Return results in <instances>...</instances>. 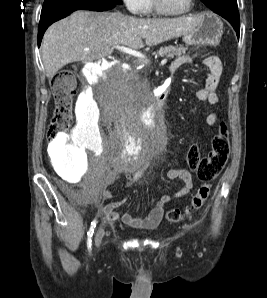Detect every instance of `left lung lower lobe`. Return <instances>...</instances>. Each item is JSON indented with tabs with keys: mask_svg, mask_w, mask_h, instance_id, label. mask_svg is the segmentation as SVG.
I'll return each mask as SVG.
<instances>
[{
	"mask_svg": "<svg viewBox=\"0 0 267 298\" xmlns=\"http://www.w3.org/2000/svg\"><path fill=\"white\" fill-rule=\"evenodd\" d=\"M220 16H222L223 18H225L226 20H228L233 28L235 29L237 36L239 37L240 34V16L238 13V8L236 9H231L230 11H227L226 13H217Z\"/></svg>",
	"mask_w": 267,
	"mask_h": 298,
	"instance_id": "obj_1",
	"label": "left lung lower lobe"
}]
</instances>
